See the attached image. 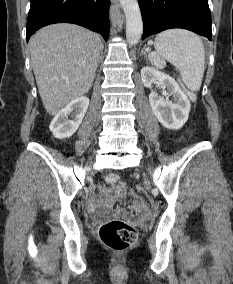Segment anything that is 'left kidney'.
I'll return each instance as SVG.
<instances>
[{
    "label": "left kidney",
    "instance_id": "1",
    "mask_svg": "<svg viewBox=\"0 0 233 284\" xmlns=\"http://www.w3.org/2000/svg\"><path fill=\"white\" fill-rule=\"evenodd\" d=\"M141 79L145 87H151L153 83L158 82L173 97L168 100L161 98L155 91L150 93L149 102L158 121L167 129L182 128L188 120L191 104L175 79L148 66L141 69Z\"/></svg>",
    "mask_w": 233,
    "mask_h": 284
}]
</instances>
